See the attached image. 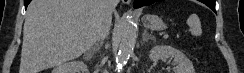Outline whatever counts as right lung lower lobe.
<instances>
[{
	"label": "right lung lower lobe",
	"instance_id": "98d812e1",
	"mask_svg": "<svg viewBox=\"0 0 244 73\" xmlns=\"http://www.w3.org/2000/svg\"><path fill=\"white\" fill-rule=\"evenodd\" d=\"M31 2V0H24V5H25V8H27L28 4Z\"/></svg>",
	"mask_w": 244,
	"mask_h": 73
}]
</instances>
